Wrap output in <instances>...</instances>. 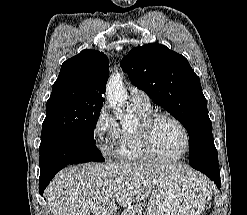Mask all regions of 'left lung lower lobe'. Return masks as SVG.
<instances>
[{
    "mask_svg": "<svg viewBox=\"0 0 247 215\" xmlns=\"http://www.w3.org/2000/svg\"><path fill=\"white\" fill-rule=\"evenodd\" d=\"M190 165L207 175L220 188V170L218 167V155L214 143L204 141L190 150Z\"/></svg>",
    "mask_w": 247,
    "mask_h": 215,
    "instance_id": "obj_1",
    "label": "left lung lower lobe"
}]
</instances>
